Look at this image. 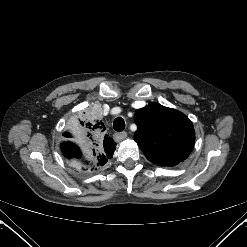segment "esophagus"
I'll return each instance as SVG.
<instances>
[{
  "label": "esophagus",
  "instance_id": "34e87169",
  "mask_svg": "<svg viewBox=\"0 0 247 247\" xmlns=\"http://www.w3.org/2000/svg\"><path fill=\"white\" fill-rule=\"evenodd\" d=\"M116 138H117L118 140H123V139L127 138V132H120V133H117V134H116Z\"/></svg>",
  "mask_w": 247,
  "mask_h": 247
}]
</instances>
